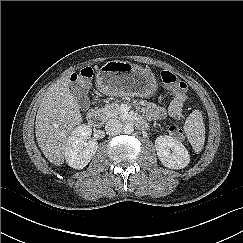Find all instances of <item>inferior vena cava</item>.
<instances>
[{
  "instance_id": "1",
  "label": "inferior vena cava",
  "mask_w": 243,
  "mask_h": 243,
  "mask_svg": "<svg viewBox=\"0 0 243 243\" xmlns=\"http://www.w3.org/2000/svg\"><path fill=\"white\" fill-rule=\"evenodd\" d=\"M105 131L108 135H118L122 131V123L118 119H110L106 122Z\"/></svg>"
}]
</instances>
